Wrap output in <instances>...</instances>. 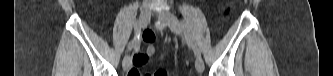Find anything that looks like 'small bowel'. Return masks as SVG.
<instances>
[{
	"label": "small bowel",
	"instance_id": "small-bowel-1",
	"mask_svg": "<svg viewBox=\"0 0 333 76\" xmlns=\"http://www.w3.org/2000/svg\"><path fill=\"white\" fill-rule=\"evenodd\" d=\"M156 40H157V34L156 33H153L152 35H150L149 32H144L143 33V41L144 42H154ZM153 53H154V47H153V45L149 44L144 53L136 54L133 57V61H134V64L136 66L133 69L137 70L140 73L138 68L146 62V59H147L148 55H151Z\"/></svg>",
	"mask_w": 333,
	"mask_h": 76
}]
</instances>
